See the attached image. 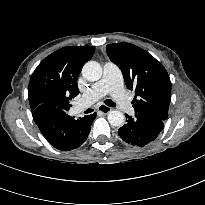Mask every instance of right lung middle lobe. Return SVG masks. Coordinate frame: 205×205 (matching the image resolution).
Masks as SVG:
<instances>
[{"label": "right lung middle lobe", "mask_w": 205, "mask_h": 205, "mask_svg": "<svg viewBox=\"0 0 205 205\" xmlns=\"http://www.w3.org/2000/svg\"><path fill=\"white\" fill-rule=\"evenodd\" d=\"M71 100V97L65 93L57 94L53 98V102L56 104V106L68 110L69 107L71 106L69 104V101Z\"/></svg>", "instance_id": "right-lung-middle-lobe-1"}]
</instances>
